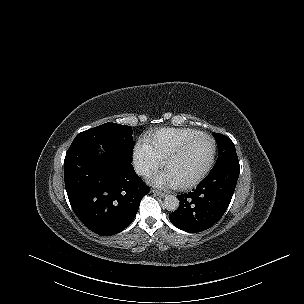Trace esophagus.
Here are the masks:
<instances>
[{
  "label": "esophagus",
  "mask_w": 304,
  "mask_h": 304,
  "mask_svg": "<svg viewBox=\"0 0 304 304\" xmlns=\"http://www.w3.org/2000/svg\"><path fill=\"white\" fill-rule=\"evenodd\" d=\"M151 192L154 193L155 195H157V196L160 197V198H164V197L167 196L166 193H163V192L158 191V190H156V189H151Z\"/></svg>",
  "instance_id": "esophagus-1"
}]
</instances>
